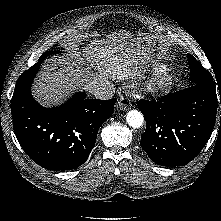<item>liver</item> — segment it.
<instances>
[{
	"label": "liver",
	"mask_w": 221,
	"mask_h": 221,
	"mask_svg": "<svg viewBox=\"0 0 221 221\" xmlns=\"http://www.w3.org/2000/svg\"><path fill=\"white\" fill-rule=\"evenodd\" d=\"M147 37L133 38L119 31L84 47L71 46L70 58L45 64L33 86L34 98L50 107L62 102L77 89L90 92L96 87L140 76L151 60L152 44ZM89 63L87 68L79 65ZM97 70L95 73L93 70Z\"/></svg>",
	"instance_id": "1"
}]
</instances>
